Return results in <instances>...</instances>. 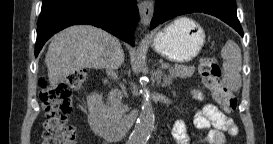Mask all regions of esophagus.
Wrapping results in <instances>:
<instances>
[{
  "label": "esophagus",
  "instance_id": "34e87169",
  "mask_svg": "<svg viewBox=\"0 0 273 144\" xmlns=\"http://www.w3.org/2000/svg\"><path fill=\"white\" fill-rule=\"evenodd\" d=\"M154 11V6L152 1H142L139 3V14L140 20L144 27L150 24Z\"/></svg>",
  "mask_w": 273,
  "mask_h": 144
}]
</instances>
